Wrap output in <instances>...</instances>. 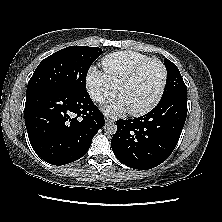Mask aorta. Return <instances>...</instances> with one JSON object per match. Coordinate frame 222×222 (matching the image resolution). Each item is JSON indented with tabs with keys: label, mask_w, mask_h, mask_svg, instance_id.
<instances>
[{
	"label": "aorta",
	"mask_w": 222,
	"mask_h": 222,
	"mask_svg": "<svg viewBox=\"0 0 222 222\" xmlns=\"http://www.w3.org/2000/svg\"><path fill=\"white\" fill-rule=\"evenodd\" d=\"M104 130L106 133L113 135L117 131V125L115 123L108 122L104 125Z\"/></svg>",
	"instance_id": "aorta-1"
}]
</instances>
